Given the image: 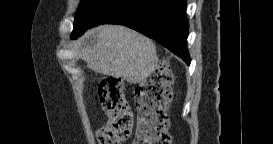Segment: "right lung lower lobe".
Segmentation results:
<instances>
[{
  "mask_svg": "<svg viewBox=\"0 0 273 144\" xmlns=\"http://www.w3.org/2000/svg\"><path fill=\"white\" fill-rule=\"evenodd\" d=\"M186 0H112L91 21L130 27L161 43L188 65Z\"/></svg>",
  "mask_w": 273,
  "mask_h": 144,
  "instance_id": "obj_1",
  "label": "right lung lower lobe"
}]
</instances>
